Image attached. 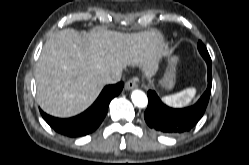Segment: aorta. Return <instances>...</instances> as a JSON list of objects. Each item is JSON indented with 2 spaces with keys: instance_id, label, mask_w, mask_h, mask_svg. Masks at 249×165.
<instances>
[{
  "instance_id": "762f6f07",
  "label": "aorta",
  "mask_w": 249,
  "mask_h": 165,
  "mask_svg": "<svg viewBox=\"0 0 249 165\" xmlns=\"http://www.w3.org/2000/svg\"><path fill=\"white\" fill-rule=\"evenodd\" d=\"M131 99L133 104L139 108H144L148 104L147 95L141 90L132 91Z\"/></svg>"
}]
</instances>
